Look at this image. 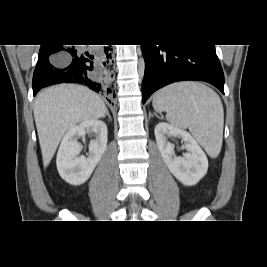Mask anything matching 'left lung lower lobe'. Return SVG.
<instances>
[{"instance_id": "left-lung-lower-lobe-1", "label": "left lung lower lobe", "mask_w": 267, "mask_h": 267, "mask_svg": "<svg viewBox=\"0 0 267 267\" xmlns=\"http://www.w3.org/2000/svg\"><path fill=\"white\" fill-rule=\"evenodd\" d=\"M145 60L142 101L170 83L206 81L224 93V75L214 45H141Z\"/></svg>"}]
</instances>
